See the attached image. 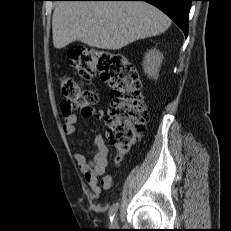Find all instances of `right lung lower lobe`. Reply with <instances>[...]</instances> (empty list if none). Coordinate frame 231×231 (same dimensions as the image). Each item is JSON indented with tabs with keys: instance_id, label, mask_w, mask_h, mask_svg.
<instances>
[{
	"instance_id": "obj_1",
	"label": "right lung lower lobe",
	"mask_w": 231,
	"mask_h": 231,
	"mask_svg": "<svg viewBox=\"0 0 231 231\" xmlns=\"http://www.w3.org/2000/svg\"><path fill=\"white\" fill-rule=\"evenodd\" d=\"M89 1H146L167 14L188 35V15L193 0H89Z\"/></svg>"
}]
</instances>
